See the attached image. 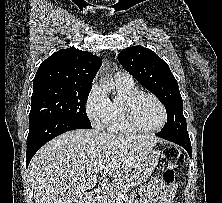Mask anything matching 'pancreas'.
Segmentation results:
<instances>
[{
    "instance_id": "pancreas-1",
    "label": "pancreas",
    "mask_w": 222,
    "mask_h": 203,
    "mask_svg": "<svg viewBox=\"0 0 222 203\" xmlns=\"http://www.w3.org/2000/svg\"><path fill=\"white\" fill-rule=\"evenodd\" d=\"M125 180H119L111 184L106 189V196L104 203H114V199L119 197L124 192Z\"/></svg>"
}]
</instances>
